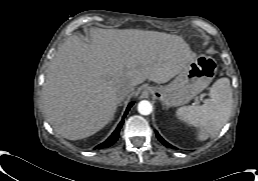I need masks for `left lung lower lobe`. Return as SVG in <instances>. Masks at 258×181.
Wrapping results in <instances>:
<instances>
[{
    "mask_svg": "<svg viewBox=\"0 0 258 181\" xmlns=\"http://www.w3.org/2000/svg\"><path fill=\"white\" fill-rule=\"evenodd\" d=\"M156 136H157L158 140H159L163 145H165L166 147L175 148V147H173L172 145H170L168 142H166V141L158 134V132H156Z\"/></svg>",
    "mask_w": 258,
    "mask_h": 181,
    "instance_id": "1",
    "label": "left lung lower lobe"
}]
</instances>
